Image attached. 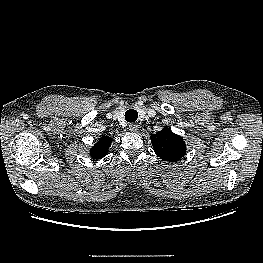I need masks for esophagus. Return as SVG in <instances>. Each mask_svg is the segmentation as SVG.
<instances>
[{
    "label": "esophagus",
    "instance_id": "obj_1",
    "mask_svg": "<svg viewBox=\"0 0 263 263\" xmlns=\"http://www.w3.org/2000/svg\"><path fill=\"white\" fill-rule=\"evenodd\" d=\"M138 128H139V126H138V124H136V123H130V124H129V129H130V131H132V132H137V131H138Z\"/></svg>",
    "mask_w": 263,
    "mask_h": 263
}]
</instances>
